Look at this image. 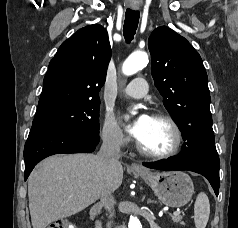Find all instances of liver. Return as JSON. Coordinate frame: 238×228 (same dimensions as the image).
<instances>
[{
  "mask_svg": "<svg viewBox=\"0 0 238 228\" xmlns=\"http://www.w3.org/2000/svg\"><path fill=\"white\" fill-rule=\"evenodd\" d=\"M123 180L120 162L101 165L94 154L55 155L38 164L28 178L33 228L74 215L100 198L105 186L113 192Z\"/></svg>",
  "mask_w": 238,
  "mask_h": 228,
  "instance_id": "obj_1",
  "label": "liver"
}]
</instances>
